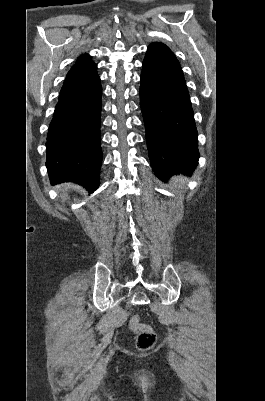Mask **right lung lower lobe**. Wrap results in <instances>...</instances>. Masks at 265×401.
<instances>
[{"instance_id": "1", "label": "right lung lower lobe", "mask_w": 265, "mask_h": 401, "mask_svg": "<svg viewBox=\"0 0 265 401\" xmlns=\"http://www.w3.org/2000/svg\"><path fill=\"white\" fill-rule=\"evenodd\" d=\"M99 81L58 98L46 138V167L52 184L72 181L91 192L99 185L102 160Z\"/></svg>"}]
</instances>
